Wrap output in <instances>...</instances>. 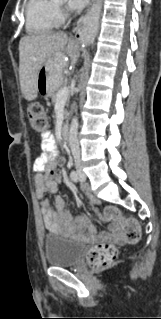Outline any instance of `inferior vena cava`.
I'll return each instance as SVG.
<instances>
[{"mask_svg": "<svg viewBox=\"0 0 161 319\" xmlns=\"http://www.w3.org/2000/svg\"><path fill=\"white\" fill-rule=\"evenodd\" d=\"M77 132H78V120L74 118L70 126L69 145L74 157L75 167L76 169H81L80 147H79V141L77 138Z\"/></svg>", "mask_w": 161, "mask_h": 319, "instance_id": "obj_1", "label": "inferior vena cava"}]
</instances>
